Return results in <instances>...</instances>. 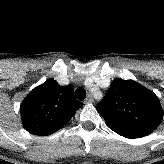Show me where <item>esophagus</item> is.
<instances>
[{
  "mask_svg": "<svg viewBox=\"0 0 164 164\" xmlns=\"http://www.w3.org/2000/svg\"><path fill=\"white\" fill-rule=\"evenodd\" d=\"M94 101L93 97L91 94H89L85 100V103L88 104V103H92Z\"/></svg>",
  "mask_w": 164,
  "mask_h": 164,
  "instance_id": "1",
  "label": "esophagus"
}]
</instances>
